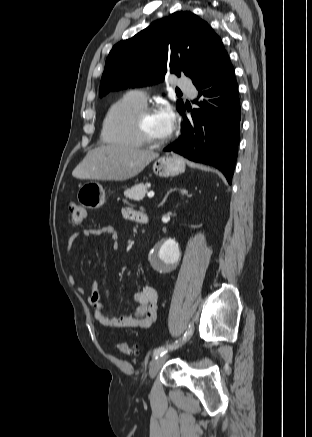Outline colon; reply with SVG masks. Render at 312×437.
Returning a JSON list of instances; mask_svg holds the SVG:
<instances>
[{
    "instance_id": "obj_1",
    "label": "colon",
    "mask_w": 312,
    "mask_h": 437,
    "mask_svg": "<svg viewBox=\"0 0 312 437\" xmlns=\"http://www.w3.org/2000/svg\"><path fill=\"white\" fill-rule=\"evenodd\" d=\"M66 207L71 224L80 225L86 216V209L73 201L68 202ZM119 349L125 355H132L134 353L133 346L126 342L121 343Z\"/></svg>"
}]
</instances>
